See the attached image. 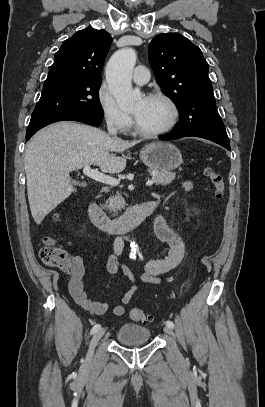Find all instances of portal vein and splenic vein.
I'll return each mask as SVG.
<instances>
[{
    "label": "portal vein and splenic vein",
    "mask_w": 265,
    "mask_h": 407,
    "mask_svg": "<svg viewBox=\"0 0 265 407\" xmlns=\"http://www.w3.org/2000/svg\"><path fill=\"white\" fill-rule=\"evenodd\" d=\"M83 173L89 178H92L93 180L98 182H102L112 186H116L119 184V180H117L116 178L108 176L102 172H99L98 170L91 169L89 165L84 166ZM153 183H154L153 180H148L146 182V185L151 186L153 185Z\"/></svg>",
    "instance_id": "obj_1"
}]
</instances>
